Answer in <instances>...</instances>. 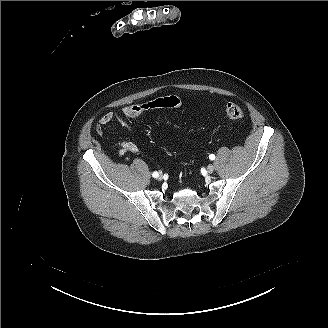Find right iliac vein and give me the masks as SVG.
Listing matches in <instances>:
<instances>
[{"instance_id":"63e3f726","label":"right iliac vein","mask_w":328,"mask_h":328,"mask_svg":"<svg viewBox=\"0 0 328 328\" xmlns=\"http://www.w3.org/2000/svg\"><path fill=\"white\" fill-rule=\"evenodd\" d=\"M157 179L161 181L163 179V176L161 174L158 175Z\"/></svg>"}]
</instances>
